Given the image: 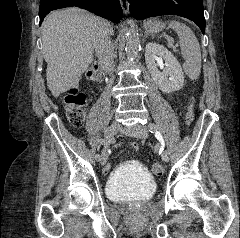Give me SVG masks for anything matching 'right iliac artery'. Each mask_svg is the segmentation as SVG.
<instances>
[{
	"label": "right iliac artery",
	"mask_w": 240,
	"mask_h": 238,
	"mask_svg": "<svg viewBox=\"0 0 240 238\" xmlns=\"http://www.w3.org/2000/svg\"><path fill=\"white\" fill-rule=\"evenodd\" d=\"M97 143H98V145H99L100 147H103V146H104V140H101V141L99 140ZM95 156H96V159H97V160H100V153H99V152H96V153H95Z\"/></svg>",
	"instance_id": "1"
}]
</instances>
